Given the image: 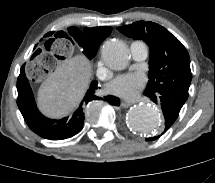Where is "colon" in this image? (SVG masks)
Here are the masks:
<instances>
[{
	"label": "colon",
	"instance_id": "1",
	"mask_svg": "<svg viewBox=\"0 0 215 183\" xmlns=\"http://www.w3.org/2000/svg\"><path fill=\"white\" fill-rule=\"evenodd\" d=\"M73 41L66 34H55L37 49L28 62V73L35 80L48 79L73 52Z\"/></svg>",
	"mask_w": 215,
	"mask_h": 183
}]
</instances>
